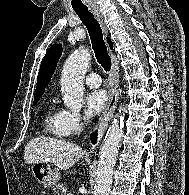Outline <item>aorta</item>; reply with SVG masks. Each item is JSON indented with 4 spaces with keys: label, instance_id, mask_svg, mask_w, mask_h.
<instances>
[{
    "label": "aorta",
    "instance_id": "1",
    "mask_svg": "<svg viewBox=\"0 0 189 195\" xmlns=\"http://www.w3.org/2000/svg\"><path fill=\"white\" fill-rule=\"evenodd\" d=\"M90 61V53L82 48L72 53L63 65L61 92L65 106L72 111H80L82 108L84 95L83 79ZM121 110L122 108H120ZM121 118L122 116L115 115L101 146L94 195L109 194L113 169L123 136Z\"/></svg>",
    "mask_w": 189,
    "mask_h": 195
}]
</instances>
